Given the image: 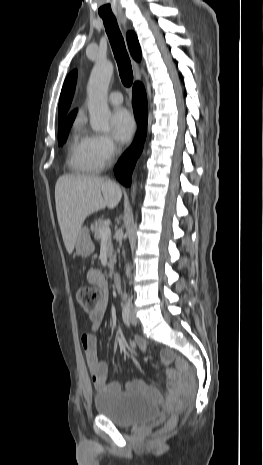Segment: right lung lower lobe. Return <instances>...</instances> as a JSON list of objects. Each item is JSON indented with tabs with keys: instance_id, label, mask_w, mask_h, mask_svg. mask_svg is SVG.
I'll return each mask as SVG.
<instances>
[{
	"instance_id": "98d812e1",
	"label": "right lung lower lobe",
	"mask_w": 263,
	"mask_h": 465,
	"mask_svg": "<svg viewBox=\"0 0 263 465\" xmlns=\"http://www.w3.org/2000/svg\"><path fill=\"white\" fill-rule=\"evenodd\" d=\"M132 104L138 123L137 136L133 144L118 160L114 173L124 186H130L132 171L140 156L146 138L147 129V98L143 84L136 82L133 86Z\"/></svg>"
}]
</instances>
